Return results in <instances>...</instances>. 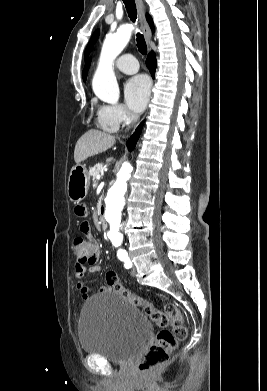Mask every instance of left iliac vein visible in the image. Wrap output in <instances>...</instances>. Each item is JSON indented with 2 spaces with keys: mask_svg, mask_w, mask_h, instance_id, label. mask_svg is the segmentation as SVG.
Here are the masks:
<instances>
[{
  "mask_svg": "<svg viewBox=\"0 0 267 391\" xmlns=\"http://www.w3.org/2000/svg\"><path fill=\"white\" fill-rule=\"evenodd\" d=\"M136 273H137V270H136L135 265L133 264V265H132V269H131V275H132V276H135Z\"/></svg>",
  "mask_w": 267,
  "mask_h": 391,
  "instance_id": "obj_1",
  "label": "left iliac vein"
}]
</instances>
